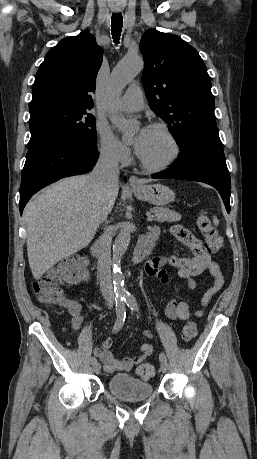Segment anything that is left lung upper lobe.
I'll return each mask as SVG.
<instances>
[{"instance_id":"obj_1","label":"left lung upper lobe","mask_w":257,"mask_h":459,"mask_svg":"<svg viewBox=\"0 0 257 459\" xmlns=\"http://www.w3.org/2000/svg\"><path fill=\"white\" fill-rule=\"evenodd\" d=\"M142 84L150 108L169 126L181 151L199 128L216 125L211 78L199 53L180 37L148 30L140 41Z\"/></svg>"}]
</instances>
